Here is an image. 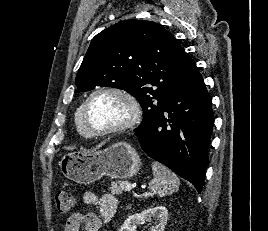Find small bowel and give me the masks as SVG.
Returning a JSON list of instances; mask_svg holds the SVG:
<instances>
[{"label": "small bowel", "instance_id": "c3829d8e", "mask_svg": "<svg viewBox=\"0 0 268 231\" xmlns=\"http://www.w3.org/2000/svg\"><path fill=\"white\" fill-rule=\"evenodd\" d=\"M82 202L87 206L97 207L99 212L72 214L64 226V231H99L102 225L115 215L118 206L115 196L104 194L98 198L92 191L83 192Z\"/></svg>", "mask_w": 268, "mask_h": 231}]
</instances>
